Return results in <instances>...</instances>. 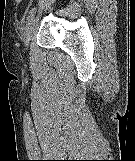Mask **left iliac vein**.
I'll return each instance as SVG.
<instances>
[{"label": "left iliac vein", "mask_w": 135, "mask_h": 161, "mask_svg": "<svg viewBox=\"0 0 135 161\" xmlns=\"http://www.w3.org/2000/svg\"><path fill=\"white\" fill-rule=\"evenodd\" d=\"M36 24H37V19H32L25 31H24V34H23V41H24V44L26 47H29L33 37H34V34H35V30H36Z\"/></svg>", "instance_id": "obj_1"}]
</instances>
